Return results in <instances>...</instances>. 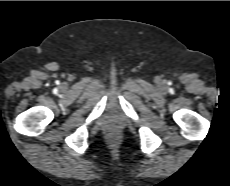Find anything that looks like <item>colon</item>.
<instances>
[{
    "label": "colon",
    "instance_id": "colon-1",
    "mask_svg": "<svg viewBox=\"0 0 230 186\" xmlns=\"http://www.w3.org/2000/svg\"><path fill=\"white\" fill-rule=\"evenodd\" d=\"M112 136H113V138H115V135H114V134H113Z\"/></svg>",
    "mask_w": 230,
    "mask_h": 186
}]
</instances>
